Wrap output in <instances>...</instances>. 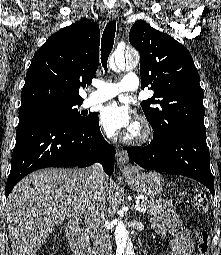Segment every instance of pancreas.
Here are the masks:
<instances>
[{
    "label": "pancreas",
    "instance_id": "cf45deb5",
    "mask_svg": "<svg viewBox=\"0 0 221 255\" xmlns=\"http://www.w3.org/2000/svg\"><path fill=\"white\" fill-rule=\"evenodd\" d=\"M140 195L137 194L135 196V198H139L140 199ZM173 205L171 200H163V199H150L148 200V198H142L141 202H140V206L143 208H146V212L147 214L150 215H157V214H161L162 212H164V210L167 207H171Z\"/></svg>",
    "mask_w": 221,
    "mask_h": 255
}]
</instances>
